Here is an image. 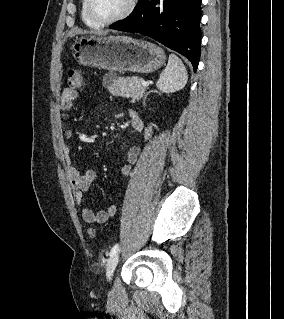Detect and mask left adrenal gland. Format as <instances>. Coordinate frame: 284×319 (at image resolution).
Instances as JSON below:
<instances>
[{"label": "left adrenal gland", "mask_w": 284, "mask_h": 319, "mask_svg": "<svg viewBox=\"0 0 284 319\" xmlns=\"http://www.w3.org/2000/svg\"><path fill=\"white\" fill-rule=\"evenodd\" d=\"M150 93H151V91H148V92L145 93L144 98H143L144 102H145L147 96H148Z\"/></svg>", "instance_id": "obj_1"}]
</instances>
